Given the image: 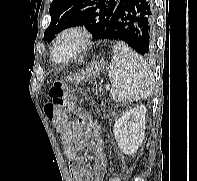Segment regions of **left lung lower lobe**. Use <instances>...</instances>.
Here are the masks:
<instances>
[{
    "mask_svg": "<svg viewBox=\"0 0 197 181\" xmlns=\"http://www.w3.org/2000/svg\"><path fill=\"white\" fill-rule=\"evenodd\" d=\"M154 0H120L100 39L125 42L142 56L155 50Z\"/></svg>",
    "mask_w": 197,
    "mask_h": 181,
    "instance_id": "obj_1",
    "label": "left lung lower lobe"
}]
</instances>
